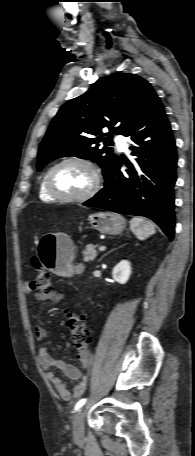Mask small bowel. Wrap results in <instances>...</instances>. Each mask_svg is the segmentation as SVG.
Returning a JSON list of instances; mask_svg holds the SVG:
<instances>
[{
  "instance_id": "small-bowel-1",
  "label": "small bowel",
  "mask_w": 195,
  "mask_h": 456,
  "mask_svg": "<svg viewBox=\"0 0 195 456\" xmlns=\"http://www.w3.org/2000/svg\"><path fill=\"white\" fill-rule=\"evenodd\" d=\"M23 290L26 294L31 293V287L29 285H24ZM35 298L39 301L50 300L53 302H60L64 299V294L55 291L50 293L39 292L35 293ZM36 335L39 340H44L47 337V331L46 329L37 326ZM39 359L48 379L51 381L54 389L61 399L71 400L73 398L79 397L85 392L88 383V377L83 374L77 367L53 356L46 346L40 347ZM81 362L84 367H88L89 353L87 358L81 360ZM55 369L62 371L66 377L76 381V385L74 386L73 391H71L67 385L55 375Z\"/></svg>"
}]
</instances>
